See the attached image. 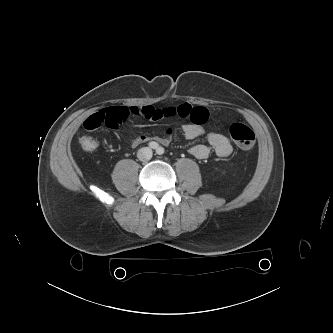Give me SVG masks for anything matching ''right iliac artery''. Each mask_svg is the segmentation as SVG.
<instances>
[{"label":"right iliac artery","instance_id":"obj_1","mask_svg":"<svg viewBox=\"0 0 333 333\" xmlns=\"http://www.w3.org/2000/svg\"><path fill=\"white\" fill-rule=\"evenodd\" d=\"M148 146L150 147V148H152V149H158V143H156V142H154V141H152V142H149L148 143Z\"/></svg>","mask_w":333,"mask_h":333}]
</instances>
